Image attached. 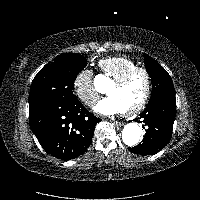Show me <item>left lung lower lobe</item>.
<instances>
[{
	"label": "left lung lower lobe",
	"mask_w": 200,
	"mask_h": 200,
	"mask_svg": "<svg viewBox=\"0 0 200 200\" xmlns=\"http://www.w3.org/2000/svg\"><path fill=\"white\" fill-rule=\"evenodd\" d=\"M175 116V95L163 94L151 99L138 118L142 119L143 126L146 127L144 139L137 146L128 148L129 151L139 155H152L165 147L172 136Z\"/></svg>",
	"instance_id": "1"
}]
</instances>
